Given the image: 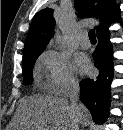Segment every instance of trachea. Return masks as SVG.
Returning a JSON list of instances; mask_svg holds the SVG:
<instances>
[{"mask_svg":"<svg viewBox=\"0 0 123 130\" xmlns=\"http://www.w3.org/2000/svg\"><path fill=\"white\" fill-rule=\"evenodd\" d=\"M88 36L91 41H96L95 30H90Z\"/></svg>","mask_w":123,"mask_h":130,"instance_id":"obj_1","label":"trachea"}]
</instances>
